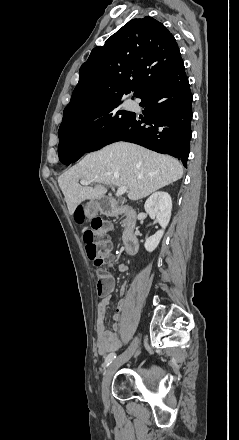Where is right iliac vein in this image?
<instances>
[{"mask_svg": "<svg viewBox=\"0 0 239 440\" xmlns=\"http://www.w3.org/2000/svg\"><path fill=\"white\" fill-rule=\"evenodd\" d=\"M138 342V337H135L128 349L110 363L102 380V397L104 400H107L109 397L110 384L114 373L122 364L126 363L132 357L138 346Z\"/></svg>", "mask_w": 239, "mask_h": 440, "instance_id": "right-iliac-vein-1", "label": "right iliac vein"}]
</instances>
